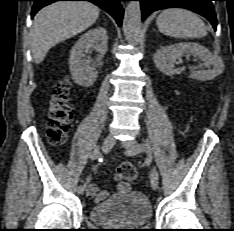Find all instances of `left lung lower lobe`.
<instances>
[{"label":"left lung lower lobe","mask_w":234,"mask_h":231,"mask_svg":"<svg viewBox=\"0 0 234 231\" xmlns=\"http://www.w3.org/2000/svg\"><path fill=\"white\" fill-rule=\"evenodd\" d=\"M141 3L142 20H144L153 11L168 8L181 7L194 11L207 18L214 29L217 27V19L212 5L214 0H138Z\"/></svg>","instance_id":"1"}]
</instances>
